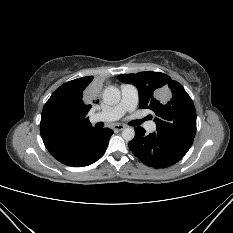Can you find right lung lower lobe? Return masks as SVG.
I'll use <instances>...</instances> for the list:
<instances>
[{"label": "right lung lower lobe", "instance_id": "obj_1", "mask_svg": "<svg viewBox=\"0 0 233 233\" xmlns=\"http://www.w3.org/2000/svg\"><path fill=\"white\" fill-rule=\"evenodd\" d=\"M59 132V131H58ZM53 132L43 138L51 155L71 167H83L96 162L106 151L113 131L109 128L87 129L72 137Z\"/></svg>", "mask_w": 233, "mask_h": 233}]
</instances>
